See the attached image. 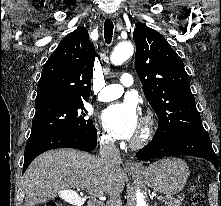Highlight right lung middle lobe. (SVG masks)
<instances>
[{"label": "right lung middle lobe", "mask_w": 221, "mask_h": 206, "mask_svg": "<svg viewBox=\"0 0 221 206\" xmlns=\"http://www.w3.org/2000/svg\"><path fill=\"white\" fill-rule=\"evenodd\" d=\"M83 102L51 103L36 107L30 137L55 132L88 131L94 128Z\"/></svg>", "instance_id": "obj_1"}]
</instances>
